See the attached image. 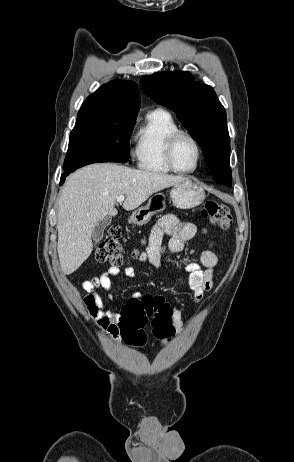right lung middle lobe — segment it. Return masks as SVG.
Segmentation results:
<instances>
[{"mask_svg": "<svg viewBox=\"0 0 294 462\" xmlns=\"http://www.w3.org/2000/svg\"><path fill=\"white\" fill-rule=\"evenodd\" d=\"M137 115L113 112H79L73 128L64 173L97 162L128 161L129 136Z\"/></svg>", "mask_w": 294, "mask_h": 462, "instance_id": "obj_1", "label": "right lung middle lobe"}]
</instances>
